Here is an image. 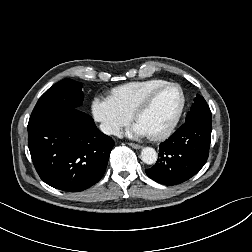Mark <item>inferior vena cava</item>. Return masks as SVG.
<instances>
[{"label": "inferior vena cava", "mask_w": 252, "mask_h": 252, "mask_svg": "<svg viewBox=\"0 0 252 252\" xmlns=\"http://www.w3.org/2000/svg\"><path fill=\"white\" fill-rule=\"evenodd\" d=\"M100 129L103 133L108 134V135L110 134L118 135L120 133V128L118 126L107 124V123L101 124Z\"/></svg>", "instance_id": "inferior-vena-cava-1"}]
</instances>
